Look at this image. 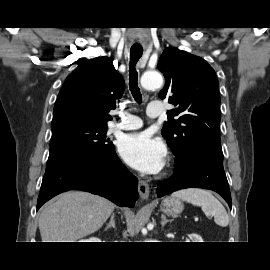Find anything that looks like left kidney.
Segmentation results:
<instances>
[{"label": "left kidney", "instance_id": "obj_1", "mask_svg": "<svg viewBox=\"0 0 270 270\" xmlns=\"http://www.w3.org/2000/svg\"><path fill=\"white\" fill-rule=\"evenodd\" d=\"M190 239L193 240V242H203L202 237L197 234H191L189 235Z\"/></svg>", "mask_w": 270, "mask_h": 270}]
</instances>
